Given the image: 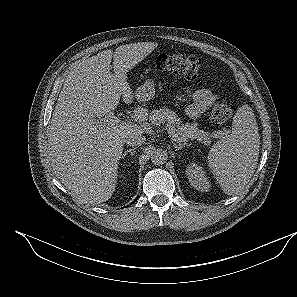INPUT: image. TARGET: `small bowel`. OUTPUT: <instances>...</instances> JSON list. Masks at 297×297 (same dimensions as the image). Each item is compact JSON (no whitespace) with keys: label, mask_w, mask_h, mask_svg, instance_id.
I'll return each instance as SVG.
<instances>
[{"label":"small bowel","mask_w":297,"mask_h":297,"mask_svg":"<svg viewBox=\"0 0 297 297\" xmlns=\"http://www.w3.org/2000/svg\"><path fill=\"white\" fill-rule=\"evenodd\" d=\"M186 96H177L186 102L185 111L189 118L195 119L210 109L216 102L217 96L207 88L189 87Z\"/></svg>","instance_id":"small-bowel-1"}]
</instances>
